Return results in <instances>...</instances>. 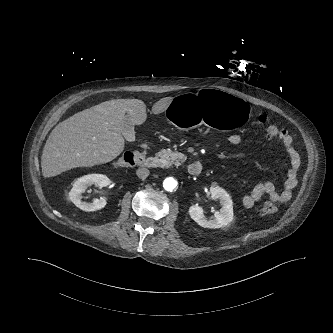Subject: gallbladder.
Returning <instances> with one entry per match:
<instances>
[{"label":"gallbladder","instance_id":"obj_1","mask_svg":"<svg viewBox=\"0 0 333 333\" xmlns=\"http://www.w3.org/2000/svg\"><path fill=\"white\" fill-rule=\"evenodd\" d=\"M121 133L127 141H135L134 123L129 116H125L123 119Z\"/></svg>","mask_w":333,"mask_h":333}]
</instances>
